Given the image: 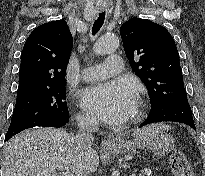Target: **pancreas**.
Instances as JSON below:
<instances>
[{
    "mask_svg": "<svg viewBox=\"0 0 205 176\" xmlns=\"http://www.w3.org/2000/svg\"><path fill=\"white\" fill-rule=\"evenodd\" d=\"M148 171H149V169H144L141 176H147V172H148Z\"/></svg>",
    "mask_w": 205,
    "mask_h": 176,
    "instance_id": "obj_1",
    "label": "pancreas"
}]
</instances>
